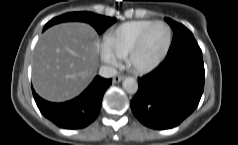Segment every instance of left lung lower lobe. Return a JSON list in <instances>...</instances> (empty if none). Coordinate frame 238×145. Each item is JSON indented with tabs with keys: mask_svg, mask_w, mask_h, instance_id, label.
<instances>
[{
	"mask_svg": "<svg viewBox=\"0 0 238 145\" xmlns=\"http://www.w3.org/2000/svg\"><path fill=\"white\" fill-rule=\"evenodd\" d=\"M174 39L186 38L188 29L172 21ZM202 51L197 42L168 52L151 73L139 78V89L131 100L136 118L153 129L179 125L198 106L204 90Z\"/></svg>",
	"mask_w": 238,
	"mask_h": 145,
	"instance_id": "left-lung-lower-lobe-1",
	"label": "left lung lower lobe"
}]
</instances>
